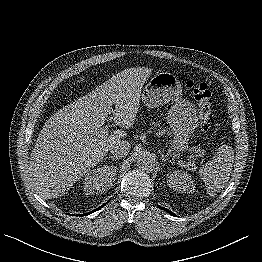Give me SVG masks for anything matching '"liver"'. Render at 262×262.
Here are the masks:
<instances>
[{
	"mask_svg": "<svg viewBox=\"0 0 262 262\" xmlns=\"http://www.w3.org/2000/svg\"><path fill=\"white\" fill-rule=\"evenodd\" d=\"M151 73L145 67L124 70L58 110L44 124L27 172L39 195L51 199L64 194L102 161L113 144L127 136L123 130L104 137L99 135L111 113L121 128L128 129L134 124L141 89Z\"/></svg>",
	"mask_w": 262,
	"mask_h": 262,
	"instance_id": "liver-1",
	"label": "liver"
}]
</instances>
